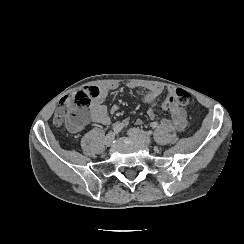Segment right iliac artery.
Segmentation results:
<instances>
[{
  "mask_svg": "<svg viewBox=\"0 0 244 244\" xmlns=\"http://www.w3.org/2000/svg\"><path fill=\"white\" fill-rule=\"evenodd\" d=\"M122 129H123L122 123H117L112 127V131L115 133L120 132Z\"/></svg>",
  "mask_w": 244,
  "mask_h": 244,
  "instance_id": "right-iliac-artery-1",
  "label": "right iliac artery"
}]
</instances>
